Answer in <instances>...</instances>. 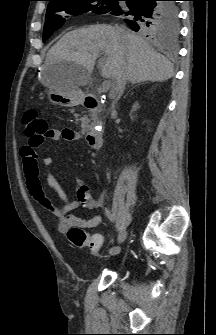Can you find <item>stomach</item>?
<instances>
[{
    "instance_id": "1",
    "label": "stomach",
    "mask_w": 216,
    "mask_h": 335,
    "mask_svg": "<svg viewBox=\"0 0 216 335\" xmlns=\"http://www.w3.org/2000/svg\"><path fill=\"white\" fill-rule=\"evenodd\" d=\"M78 68L72 63L57 65L54 69H42L40 79L49 88L48 99L51 103L62 107H73L82 101V93L69 83L65 70Z\"/></svg>"
}]
</instances>
